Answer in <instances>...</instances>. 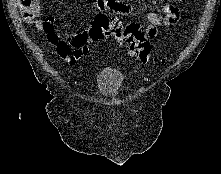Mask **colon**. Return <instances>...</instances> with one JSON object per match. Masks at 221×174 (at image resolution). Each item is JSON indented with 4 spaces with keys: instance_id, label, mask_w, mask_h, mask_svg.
Listing matches in <instances>:
<instances>
[{
    "instance_id": "colon-1",
    "label": "colon",
    "mask_w": 221,
    "mask_h": 174,
    "mask_svg": "<svg viewBox=\"0 0 221 174\" xmlns=\"http://www.w3.org/2000/svg\"><path fill=\"white\" fill-rule=\"evenodd\" d=\"M40 0H19L21 16L26 23H33L38 16ZM84 39L92 42L112 37L117 43H124L129 54L143 64L151 61V45L144 28L137 22L122 25L105 14H98L83 34Z\"/></svg>"
}]
</instances>
